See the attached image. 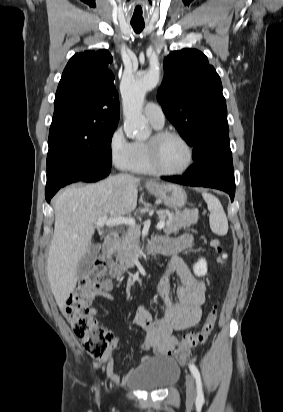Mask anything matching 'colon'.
I'll return each instance as SVG.
<instances>
[{
    "instance_id": "1",
    "label": "colon",
    "mask_w": 283,
    "mask_h": 412,
    "mask_svg": "<svg viewBox=\"0 0 283 412\" xmlns=\"http://www.w3.org/2000/svg\"><path fill=\"white\" fill-rule=\"evenodd\" d=\"M210 246L217 254V267L222 270L226 264V254L223 252L219 240L211 238ZM106 271V261L103 258H97L84 280L68 297L65 308L66 317L74 336L81 341L90 356L96 359L105 356L114 337L110 330L97 322L90 308L95 292L104 281ZM218 309L219 303L214 299L201 329L188 334L177 342L178 352L188 351L207 341L215 326Z\"/></svg>"
}]
</instances>
